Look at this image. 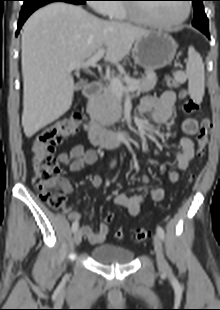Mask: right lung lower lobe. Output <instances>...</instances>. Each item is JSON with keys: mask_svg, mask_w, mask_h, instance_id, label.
I'll use <instances>...</instances> for the list:
<instances>
[{"mask_svg": "<svg viewBox=\"0 0 220 310\" xmlns=\"http://www.w3.org/2000/svg\"><path fill=\"white\" fill-rule=\"evenodd\" d=\"M54 1H64L67 3H73V4H84V0H42L39 2H33V3H24L22 6L19 21H18V29L16 32V35L19 33L20 28L22 27L23 23L26 21V19L38 8L41 6H44L48 3L54 2Z\"/></svg>", "mask_w": 220, "mask_h": 310, "instance_id": "obj_1", "label": "right lung lower lobe"}]
</instances>
